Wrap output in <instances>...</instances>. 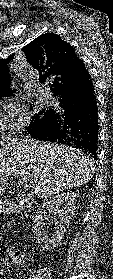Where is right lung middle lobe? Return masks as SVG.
I'll return each mask as SVG.
<instances>
[{
	"label": "right lung middle lobe",
	"instance_id": "obj_1",
	"mask_svg": "<svg viewBox=\"0 0 113 279\" xmlns=\"http://www.w3.org/2000/svg\"><path fill=\"white\" fill-rule=\"evenodd\" d=\"M31 109H33V108L31 107ZM54 112L55 111L52 109L40 110L38 113L34 114V116L32 117V121H31L29 127L27 128V130L46 123L53 116Z\"/></svg>",
	"mask_w": 113,
	"mask_h": 279
}]
</instances>
